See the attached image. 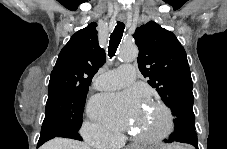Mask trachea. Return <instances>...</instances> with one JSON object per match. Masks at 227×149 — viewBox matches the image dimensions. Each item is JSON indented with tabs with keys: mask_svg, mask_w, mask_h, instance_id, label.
Here are the masks:
<instances>
[{
	"mask_svg": "<svg viewBox=\"0 0 227 149\" xmlns=\"http://www.w3.org/2000/svg\"><path fill=\"white\" fill-rule=\"evenodd\" d=\"M125 25L123 22L118 21L113 33L110 35V41L108 46V55L112 58L121 42Z\"/></svg>",
	"mask_w": 227,
	"mask_h": 149,
	"instance_id": "3493384b",
	"label": "trachea"
}]
</instances>
